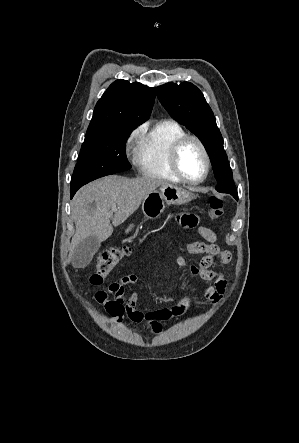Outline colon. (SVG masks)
Returning a JSON list of instances; mask_svg holds the SVG:
<instances>
[{
    "instance_id": "1",
    "label": "colon",
    "mask_w": 299,
    "mask_h": 443,
    "mask_svg": "<svg viewBox=\"0 0 299 443\" xmlns=\"http://www.w3.org/2000/svg\"><path fill=\"white\" fill-rule=\"evenodd\" d=\"M222 214L223 200L218 196H212L209 201L210 218L218 219ZM130 253L131 249L127 246L110 247L102 250L97 258L96 269L91 275V283L94 285L103 284L110 272Z\"/></svg>"
}]
</instances>
